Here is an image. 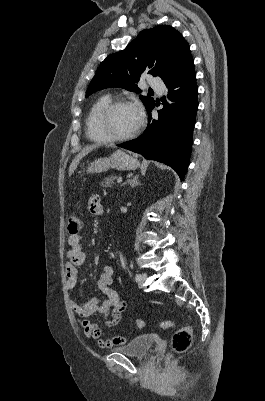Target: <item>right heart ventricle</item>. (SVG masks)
I'll return each mask as SVG.
<instances>
[{
	"instance_id": "obj_1",
	"label": "right heart ventricle",
	"mask_w": 265,
	"mask_h": 401,
	"mask_svg": "<svg viewBox=\"0 0 265 401\" xmlns=\"http://www.w3.org/2000/svg\"><path fill=\"white\" fill-rule=\"evenodd\" d=\"M111 101V97L109 95H103L99 97L95 102L91 105L87 115H86V132L88 137L97 142H103L101 136L96 132L94 122L98 112L103 108L108 102Z\"/></svg>"
}]
</instances>
